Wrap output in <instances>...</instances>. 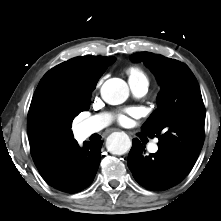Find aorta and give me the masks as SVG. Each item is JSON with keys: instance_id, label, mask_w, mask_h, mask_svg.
<instances>
[{"instance_id": "aorta-1", "label": "aorta", "mask_w": 221, "mask_h": 221, "mask_svg": "<svg viewBox=\"0 0 221 221\" xmlns=\"http://www.w3.org/2000/svg\"><path fill=\"white\" fill-rule=\"evenodd\" d=\"M101 96L108 104H122L129 96L128 85L120 78L108 79L101 87ZM130 147L131 141L123 132H115L108 137L107 148L112 154H125Z\"/></svg>"}]
</instances>
